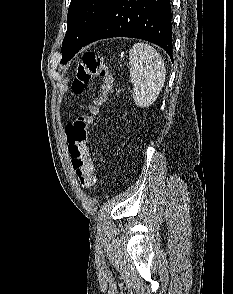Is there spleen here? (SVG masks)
<instances>
[{
    "label": "spleen",
    "mask_w": 233,
    "mask_h": 294,
    "mask_svg": "<svg viewBox=\"0 0 233 294\" xmlns=\"http://www.w3.org/2000/svg\"><path fill=\"white\" fill-rule=\"evenodd\" d=\"M129 72L136 106L149 107L165 82L166 68L161 55L147 43H135L129 51Z\"/></svg>",
    "instance_id": "obj_1"
}]
</instances>
